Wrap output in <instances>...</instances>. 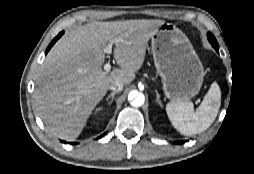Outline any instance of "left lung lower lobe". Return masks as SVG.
Listing matches in <instances>:
<instances>
[{
	"label": "left lung lower lobe",
	"instance_id": "left-lung-lower-lobe-1",
	"mask_svg": "<svg viewBox=\"0 0 254 174\" xmlns=\"http://www.w3.org/2000/svg\"><path fill=\"white\" fill-rule=\"evenodd\" d=\"M215 50L218 52L219 49L216 47ZM183 142H184V141H182V142H177V144H182Z\"/></svg>",
	"mask_w": 254,
	"mask_h": 174
}]
</instances>
